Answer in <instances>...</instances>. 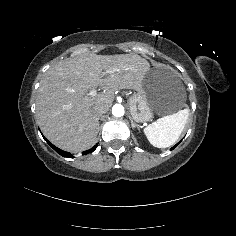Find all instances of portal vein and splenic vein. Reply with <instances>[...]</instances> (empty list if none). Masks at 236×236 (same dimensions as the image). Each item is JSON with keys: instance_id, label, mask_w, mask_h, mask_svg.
Returning a JSON list of instances; mask_svg holds the SVG:
<instances>
[{"instance_id": "obj_1", "label": "portal vein and splenic vein", "mask_w": 236, "mask_h": 236, "mask_svg": "<svg viewBox=\"0 0 236 236\" xmlns=\"http://www.w3.org/2000/svg\"><path fill=\"white\" fill-rule=\"evenodd\" d=\"M94 96H96V91H95V90H91V91H89L88 94H86V95L84 96V98H85L86 100H88V99H90V98H92V97H94Z\"/></svg>"}]
</instances>
